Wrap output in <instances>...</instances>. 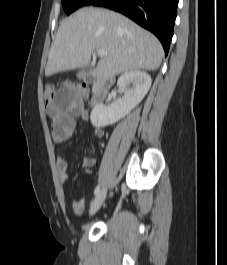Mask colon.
<instances>
[{"label": "colon", "mask_w": 227, "mask_h": 265, "mask_svg": "<svg viewBox=\"0 0 227 265\" xmlns=\"http://www.w3.org/2000/svg\"><path fill=\"white\" fill-rule=\"evenodd\" d=\"M62 87H77V91H83L82 98L86 97L88 94L87 89L81 85H66V86H62ZM53 91H57V89L52 84H46L43 87V95H44L46 102H50V99H52Z\"/></svg>", "instance_id": "1"}]
</instances>
